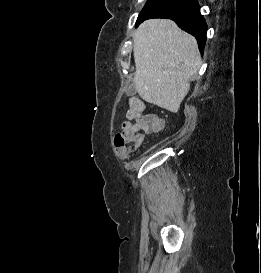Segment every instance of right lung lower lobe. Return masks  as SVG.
<instances>
[{
	"mask_svg": "<svg viewBox=\"0 0 261 273\" xmlns=\"http://www.w3.org/2000/svg\"><path fill=\"white\" fill-rule=\"evenodd\" d=\"M168 6L171 7L159 15L150 16L140 21L136 27L146 19L150 18H166L174 20L178 26L186 32L195 36L203 53L206 43L207 25L200 14V7L196 0H168Z\"/></svg>",
	"mask_w": 261,
	"mask_h": 273,
	"instance_id": "right-lung-lower-lobe-1",
	"label": "right lung lower lobe"
}]
</instances>
